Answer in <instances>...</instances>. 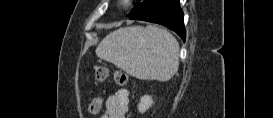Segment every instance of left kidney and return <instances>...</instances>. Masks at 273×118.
I'll return each instance as SVG.
<instances>
[{
  "label": "left kidney",
  "mask_w": 273,
  "mask_h": 118,
  "mask_svg": "<svg viewBox=\"0 0 273 118\" xmlns=\"http://www.w3.org/2000/svg\"><path fill=\"white\" fill-rule=\"evenodd\" d=\"M153 103L154 102L151 96L148 95L142 96L138 104V111L140 113H144L152 106Z\"/></svg>",
  "instance_id": "1"
}]
</instances>
